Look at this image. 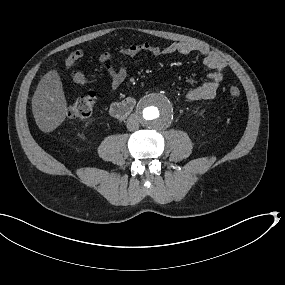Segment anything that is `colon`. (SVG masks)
Segmentation results:
<instances>
[{
	"label": "colon",
	"mask_w": 285,
	"mask_h": 285,
	"mask_svg": "<svg viewBox=\"0 0 285 285\" xmlns=\"http://www.w3.org/2000/svg\"><path fill=\"white\" fill-rule=\"evenodd\" d=\"M83 56L81 49L74 50L67 58V65L73 66ZM70 79L73 83L84 84L86 82V75L82 69L75 68L71 71ZM229 95L232 98H238L240 96V90L238 87H231L229 89ZM96 101V95L94 92H89L87 95L76 99L68 108V115L73 119L86 120L91 117L93 113L94 104Z\"/></svg>",
	"instance_id": "obj_1"
}]
</instances>
